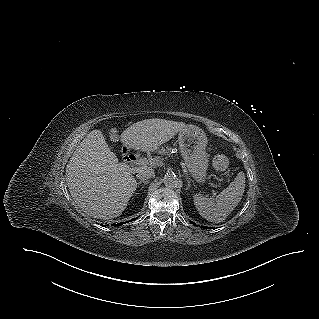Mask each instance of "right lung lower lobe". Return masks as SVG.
<instances>
[{
	"label": "right lung lower lobe",
	"instance_id": "right-lung-lower-lobe-1",
	"mask_svg": "<svg viewBox=\"0 0 319 319\" xmlns=\"http://www.w3.org/2000/svg\"><path fill=\"white\" fill-rule=\"evenodd\" d=\"M126 222H124V224H125ZM123 223H118L117 225L119 226V225H122ZM116 224H114V226H115Z\"/></svg>",
	"mask_w": 319,
	"mask_h": 319
}]
</instances>
